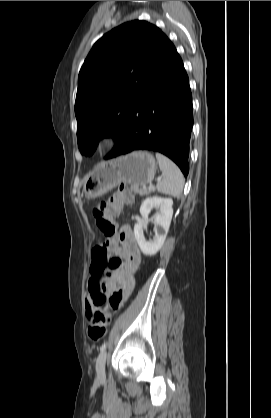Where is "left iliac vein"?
I'll return each instance as SVG.
<instances>
[{
	"instance_id": "1",
	"label": "left iliac vein",
	"mask_w": 271,
	"mask_h": 418,
	"mask_svg": "<svg viewBox=\"0 0 271 418\" xmlns=\"http://www.w3.org/2000/svg\"><path fill=\"white\" fill-rule=\"evenodd\" d=\"M107 359L106 351H102L97 360H96V374L98 380H103L105 378V363Z\"/></svg>"
}]
</instances>
